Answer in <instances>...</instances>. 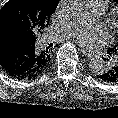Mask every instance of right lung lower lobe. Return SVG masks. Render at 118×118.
Instances as JSON below:
<instances>
[{
	"label": "right lung lower lobe",
	"mask_w": 118,
	"mask_h": 118,
	"mask_svg": "<svg viewBox=\"0 0 118 118\" xmlns=\"http://www.w3.org/2000/svg\"><path fill=\"white\" fill-rule=\"evenodd\" d=\"M37 51L20 31L0 34V68L15 79H32L40 74L35 67Z\"/></svg>",
	"instance_id": "right-lung-lower-lobe-1"
}]
</instances>
